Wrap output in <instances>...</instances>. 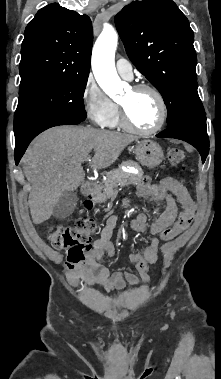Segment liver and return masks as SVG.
Instances as JSON below:
<instances>
[{
  "instance_id": "1",
  "label": "liver",
  "mask_w": 221,
  "mask_h": 379,
  "mask_svg": "<svg viewBox=\"0 0 221 379\" xmlns=\"http://www.w3.org/2000/svg\"><path fill=\"white\" fill-rule=\"evenodd\" d=\"M134 140L130 134L69 126L51 128L35 138L22 158L32 185L28 202L33 222L48 220L61 195L83 185L82 163L91 151L90 166L104 169Z\"/></svg>"
}]
</instances>
